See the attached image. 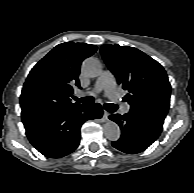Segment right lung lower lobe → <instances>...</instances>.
Returning a JSON list of instances; mask_svg holds the SVG:
<instances>
[{
    "label": "right lung lower lobe",
    "mask_w": 194,
    "mask_h": 193,
    "mask_svg": "<svg viewBox=\"0 0 194 193\" xmlns=\"http://www.w3.org/2000/svg\"><path fill=\"white\" fill-rule=\"evenodd\" d=\"M100 104L77 105L59 113L23 122L30 143L44 156L60 158L80 143V127L89 119L101 118Z\"/></svg>",
    "instance_id": "obj_1"
}]
</instances>
